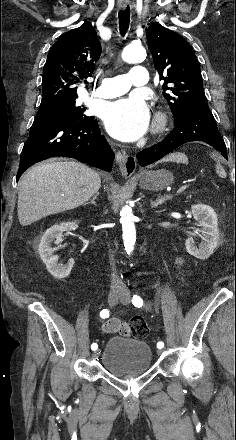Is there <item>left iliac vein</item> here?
<instances>
[{
	"instance_id": "4c4485c4",
	"label": "left iliac vein",
	"mask_w": 236,
	"mask_h": 440,
	"mask_svg": "<svg viewBox=\"0 0 236 440\" xmlns=\"http://www.w3.org/2000/svg\"><path fill=\"white\" fill-rule=\"evenodd\" d=\"M130 301H131V297H130V294L129 293H127V292H124V293H122L121 294V296H120V302L122 303V304H129L130 303ZM157 353L160 355V354H162V350L161 349H158L157 350Z\"/></svg>"
}]
</instances>
